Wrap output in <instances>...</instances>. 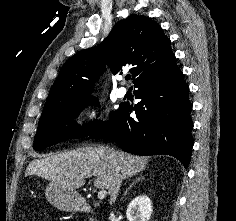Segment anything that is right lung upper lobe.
Segmentation results:
<instances>
[{"label": "right lung upper lobe", "mask_w": 236, "mask_h": 221, "mask_svg": "<svg viewBox=\"0 0 236 221\" xmlns=\"http://www.w3.org/2000/svg\"><path fill=\"white\" fill-rule=\"evenodd\" d=\"M173 56L170 40L155 21L130 15L116 23L100 45L81 51L65 62L49 92L43 112L89 96L105 65L114 74L123 66H130L135 84L164 66Z\"/></svg>", "instance_id": "obj_1"}]
</instances>
